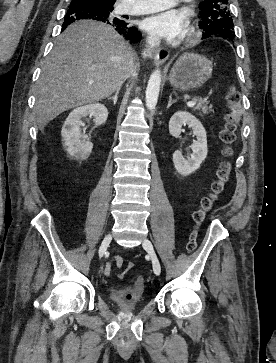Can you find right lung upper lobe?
Wrapping results in <instances>:
<instances>
[{"label":"right lung upper lobe","mask_w":276,"mask_h":363,"mask_svg":"<svg viewBox=\"0 0 276 363\" xmlns=\"http://www.w3.org/2000/svg\"><path fill=\"white\" fill-rule=\"evenodd\" d=\"M105 5L113 6L116 0H95ZM118 22H121L118 20Z\"/></svg>","instance_id":"1"}]
</instances>
